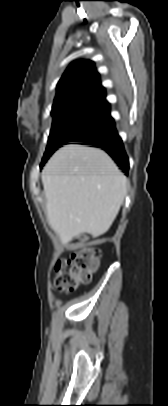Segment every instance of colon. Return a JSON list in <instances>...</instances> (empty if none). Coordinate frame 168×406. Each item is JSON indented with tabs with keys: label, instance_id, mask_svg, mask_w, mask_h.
I'll use <instances>...</instances> for the list:
<instances>
[{
	"label": "colon",
	"instance_id": "obj_1",
	"mask_svg": "<svg viewBox=\"0 0 168 406\" xmlns=\"http://www.w3.org/2000/svg\"><path fill=\"white\" fill-rule=\"evenodd\" d=\"M70 244L71 257L59 260L55 266L52 286L57 291L69 292L89 283L98 267L99 249L87 246L83 236L74 237Z\"/></svg>",
	"mask_w": 168,
	"mask_h": 406
}]
</instances>
